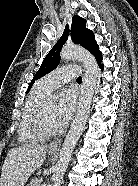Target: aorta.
Returning <instances> with one entry per match:
<instances>
[{
	"instance_id": "obj_1",
	"label": "aorta",
	"mask_w": 138,
	"mask_h": 186,
	"mask_svg": "<svg viewBox=\"0 0 138 186\" xmlns=\"http://www.w3.org/2000/svg\"><path fill=\"white\" fill-rule=\"evenodd\" d=\"M62 60H78L84 65V77L81 85V92L76 115L71 124L70 130L63 142L59 159L56 164L55 172L53 173L52 186H60L64 173L67 169L74 147L80 138V135L85 127L88 115L90 113L91 102L96 86L99 68L94 56L87 50L70 46L65 47L60 54Z\"/></svg>"
}]
</instances>
